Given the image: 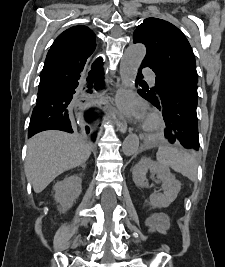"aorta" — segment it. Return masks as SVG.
<instances>
[{"label": "aorta", "mask_w": 225, "mask_h": 267, "mask_svg": "<svg viewBox=\"0 0 225 267\" xmlns=\"http://www.w3.org/2000/svg\"><path fill=\"white\" fill-rule=\"evenodd\" d=\"M146 54V47L143 44H132L125 50L120 63V76L125 86H132L136 79L138 68ZM139 148L137 135H128L122 144L123 154L134 155Z\"/></svg>", "instance_id": "obj_1"}]
</instances>
